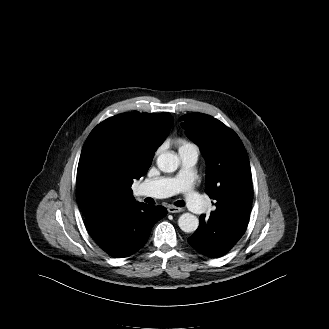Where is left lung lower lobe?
<instances>
[{"label": "left lung lower lobe", "mask_w": 329, "mask_h": 329, "mask_svg": "<svg viewBox=\"0 0 329 329\" xmlns=\"http://www.w3.org/2000/svg\"><path fill=\"white\" fill-rule=\"evenodd\" d=\"M219 217L201 215L199 227L188 238L189 244L210 258L226 254L243 236L248 225L250 203L235 205Z\"/></svg>", "instance_id": "left-lung-lower-lobe-1"}]
</instances>
